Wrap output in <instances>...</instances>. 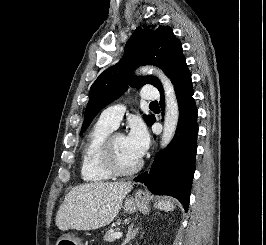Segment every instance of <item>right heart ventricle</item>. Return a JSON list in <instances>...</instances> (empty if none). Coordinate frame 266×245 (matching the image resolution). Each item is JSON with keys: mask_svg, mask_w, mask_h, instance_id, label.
<instances>
[{"mask_svg": "<svg viewBox=\"0 0 266 245\" xmlns=\"http://www.w3.org/2000/svg\"><path fill=\"white\" fill-rule=\"evenodd\" d=\"M112 130L111 125L97 120L86 136L81 154L80 176L87 184L100 185L112 179L100 163L102 144Z\"/></svg>", "mask_w": 266, "mask_h": 245, "instance_id": "e07e8e85", "label": "right heart ventricle"}]
</instances>
